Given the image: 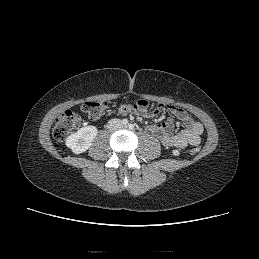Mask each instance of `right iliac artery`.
<instances>
[{
    "instance_id": "obj_1",
    "label": "right iliac artery",
    "mask_w": 259,
    "mask_h": 259,
    "mask_svg": "<svg viewBox=\"0 0 259 259\" xmlns=\"http://www.w3.org/2000/svg\"><path fill=\"white\" fill-rule=\"evenodd\" d=\"M122 123H123V125H127L128 124V120L127 119H123Z\"/></svg>"
}]
</instances>
